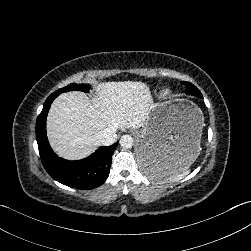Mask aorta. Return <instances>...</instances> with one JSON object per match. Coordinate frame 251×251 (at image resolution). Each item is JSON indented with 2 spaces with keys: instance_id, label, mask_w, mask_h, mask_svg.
<instances>
[{
  "instance_id": "aorta-1",
  "label": "aorta",
  "mask_w": 251,
  "mask_h": 251,
  "mask_svg": "<svg viewBox=\"0 0 251 251\" xmlns=\"http://www.w3.org/2000/svg\"><path fill=\"white\" fill-rule=\"evenodd\" d=\"M133 142H134V139L130 135L121 136L120 141H119L121 147L125 149L131 148L133 146Z\"/></svg>"
}]
</instances>
